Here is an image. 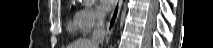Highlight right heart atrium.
I'll list each match as a JSON object with an SVG mask.
<instances>
[{
  "instance_id": "obj_1",
  "label": "right heart atrium",
  "mask_w": 213,
  "mask_h": 48,
  "mask_svg": "<svg viewBox=\"0 0 213 48\" xmlns=\"http://www.w3.org/2000/svg\"><path fill=\"white\" fill-rule=\"evenodd\" d=\"M78 28L83 34L90 33L103 20V15L93 6L87 5L77 11Z\"/></svg>"
}]
</instances>
